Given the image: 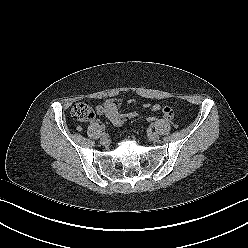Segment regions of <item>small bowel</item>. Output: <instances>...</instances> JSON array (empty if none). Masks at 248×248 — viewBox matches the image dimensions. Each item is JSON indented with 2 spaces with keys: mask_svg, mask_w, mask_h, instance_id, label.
<instances>
[{
  "mask_svg": "<svg viewBox=\"0 0 248 248\" xmlns=\"http://www.w3.org/2000/svg\"><path fill=\"white\" fill-rule=\"evenodd\" d=\"M132 103V101H130ZM144 108H148L153 112L160 111L167 120H171L174 117L173 109L168 106H161L159 104H145ZM96 112L99 115H104L113 125L121 126L127 119H131L137 116L136 111L122 112L121 103L113 99L105 100L101 105L96 107Z\"/></svg>",
  "mask_w": 248,
  "mask_h": 248,
  "instance_id": "obj_1",
  "label": "small bowel"
}]
</instances>
